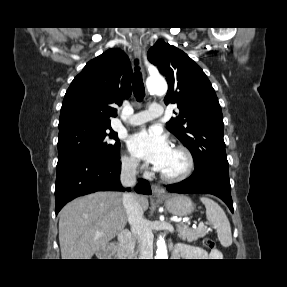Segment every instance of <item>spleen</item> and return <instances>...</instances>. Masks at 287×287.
I'll use <instances>...</instances> for the list:
<instances>
[{"label":"spleen","mask_w":287,"mask_h":287,"mask_svg":"<svg viewBox=\"0 0 287 287\" xmlns=\"http://www.w3.org/2000/svg\"><path fill=\"white\" fill-rule=\"evenodd\" d=\"M200 200L205 205L206 218L216 229L221 245L224 247L231 246V227L224 210L210 198L201 197Z\"/></svg>","instance_id":"1"}]
</instances>
